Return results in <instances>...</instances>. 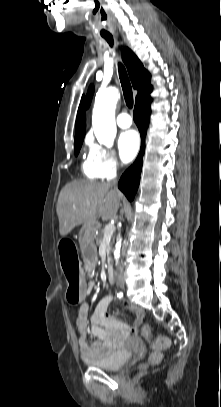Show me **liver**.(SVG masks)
<instances>
[{
    "instance_id": "1",
    "label": "liver",
    "mask_w": 221,
    "mask_h": 407,
    "mask_svg": "<svg viewBox=\"0 0 221 407\" xmlns=\"http://www.w3.org/2000/svg\"><path fill=\"white\" fill-rule=\"evenodd\" d=\"M121 195L108 183L74 181L65 185L57 202L59 232L62 237L81 224H94L116 216Z\"/></svg>"
}]
</instances>
